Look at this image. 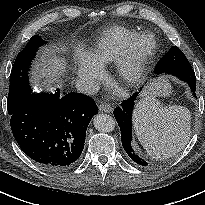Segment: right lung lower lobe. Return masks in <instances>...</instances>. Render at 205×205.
Instances as JSON below:
<instances>
[{
	"label": "right lung lower lobe",
	"mask_w": 205,
	"mask_h": 205,
	"mask_svg": "<svg viewBox=\"0 0 205 205\" xmlns=\"http://www.w3.org/2000/svg\"><path fill=\"white\" fill-rule=\"evenodd\" d=\"M35 94L11 115L13 135L22 151L47 170L71 167L80 157L86 129L98 113L81 93Z\"/></svg>",
	"instance_id": "right-lung-lower-lobe-1"
}]
</instances>
